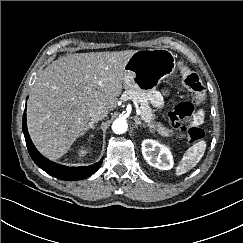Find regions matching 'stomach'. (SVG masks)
<instances>
[{"label":"stomach","mask_w":243,"mask_h":243,"mask_svg":"<svg viewBox=\"0 0 243 243\" xmlns=\"http://www.w3.org/2000/svg\"><path fill=\"white\" fill-rule=\"evenodd\" d=\"M175 56L167 49H143L136 51L125 65L126 88H155L175 71Z\"/></svg>","instance_id":"0dacf381"}]
</instances>
